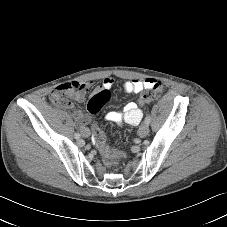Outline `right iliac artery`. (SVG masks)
Returning <instances> with one entry per match:
<instances>
[{"label":"right iliac artery","mask_w":227,"mask_h":227,"mask_svg":"<svg viewBox=\"0 0 227 227\" xmlns=\"http://www.w3.org/2000/svg\"><path fill=\"white\" fill-rule=\"evenodd\" d=\"M74 137H75V139H79L80 138V134L79 133H75Z\"/></svg>","instance_id":"1"}]
</instances>
